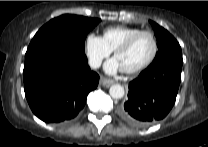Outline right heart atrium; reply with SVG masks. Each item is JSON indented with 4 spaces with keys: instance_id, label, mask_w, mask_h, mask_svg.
I'll list each match as a JSON object with an SVG mask.
<instances>
[{
    "instance_id": "right-heart-atrium-1",
    "label": "right heart atrium",
    "mask_w": 208,
    "mask_h": 147,
    "mask_svg": "<svg viewBox=\"0 0 208 147\" xmlns=\"http://www.w3.org/2000/svg\"><path fill=\"white\" fill-rule=\"evenodd\" d=\"M85 50L90 64L98 67L101 62L111 54L103 37L90 33L85 39Z\"/></svg>"
}]
</instances>
